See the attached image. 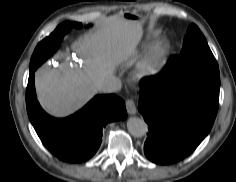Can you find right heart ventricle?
I'll list each match as a JSON object with an SVG mask.
<instances>
[{
  "label": "right heart ventricle",
  "instance_id": "obj_1",
  "mask_svg": "<svg viewBox=\"0 0 236 182\" xmlns=\"http://www.w3.org/2000/svg\"><path fill=\"white\" fill-rule=\"evenodd\" d=\"M152 37H153V36H149V37H148V40H150Z\"/></svg>",
  "mask_w": 236,
  "mask_h": 182
}]
</instances>
